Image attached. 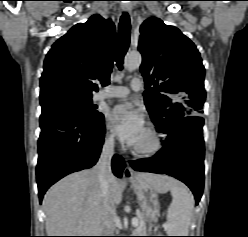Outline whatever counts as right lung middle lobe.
Segmentation results:
<instances>
[{"instance_id": "obj_1", "label": "right lung middle lobe", "mask_w": 248, "mask_h": 237, "mask_svg": "<svg viewBox=\"0 0 248 237\" xmlns=\"http://www.w3.org/2000/svg\"><path fill=\"white\" fill-rule=\"evenodd\" d=\"M42 114L60 113L70 114L83 119H93L102 116L96 111V106L91 99H76L71 97H59L41 104Z\"/></svg>"}]
</instances>
